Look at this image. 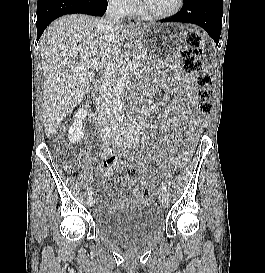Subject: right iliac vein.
Listing matches in <instances>:
<instances>
[{
    "mask_svg": "<svg viewBox=\"0 0 265 273\" xmlns=\"http://www.w3.org/2000/svg\"><path fill=\"white\" fill-rule=\"evenodd\" d=\"M114 140H115L114 136L108 135V137L105 139V142L108 144L110 142H114ZM93 204H94V199H93L92 196H89L88 199H87V205L89 207H91V206H93Z\"/></svg>",
    "mask_w": 265,
    "mask_h": 273,
    "instance_id": "1",
    "label": "right iliac vein"
}]
</instances>
